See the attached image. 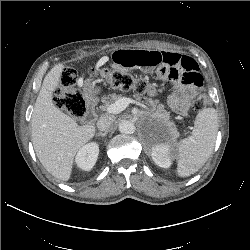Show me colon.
Instances as JSON below:
<instances>
[{
    "label": "colon",
    "mask_w": 250,
    "mask_h": 250,
    "mask_svg": "<svg viewBox=\"0 0 250 250\" xmlns=\"http://www.w3.org/2000/svg\"><path fill=\"white\" fill-rule=\"evenodd\" d=\"M90 75L99 76L104 84L121 90H132L138 94L155 95L156 87L144 79H137L129 74L109 68L101 70L91 69ZM76 72L72 69H64L60 76L54 96L56 105L74 117H82L86 113V103L81 93L75 89ZM209 104L206 93H200L193 102V109L200 111Z\"/></svg>",
    "instance_id": "obj_1"
}]
</instances>
